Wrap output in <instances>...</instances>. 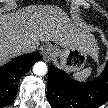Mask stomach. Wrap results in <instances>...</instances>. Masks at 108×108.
I'll use <instances>...</instances> for the list:
<instances>
[{"label": "stomach", "instance_id": "obj_1", "mask_svg": "<svg viewBox=\"0 0 108 108\" xmlns=\"http://www.w3.org/2000/svg\"><path fill=\"white\" fill-rule=\"evenodd\" d=\"M89 43L94 44L90 47L88 43L86 48L82 49L77 45H71L59 48L58 46L49 45L47 48V56L53 60L59 59V66L68 72H79L87 64L88 57L97 58V43L92 34L88 39Z\"/></svg>", "mask_w": 108, "mask_h": 108}]
</instances>
